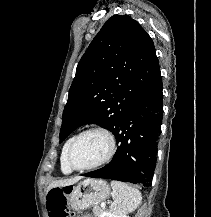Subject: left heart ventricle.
<instances>
[{
	"mask_svg": "<svg viewBox=\"0 0 211 217\" xmlns=\"http://www.w3.org/2000/svg\"><path fill=\"white\" fill-rule=\"evenodd\" d=\"M109 150L107 137L99 132L83 135L75 144L72 160L76 166L83 167L102 160Z\"/></svg>",
	"mask_w": 211,
	"mask_h": 217,
	"instance_id": "b2bd125f",
	"label": "left heart ventricle"
}]
</instances>
